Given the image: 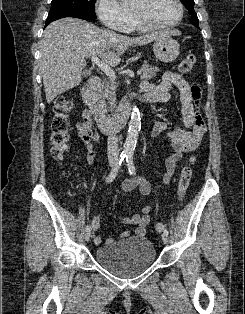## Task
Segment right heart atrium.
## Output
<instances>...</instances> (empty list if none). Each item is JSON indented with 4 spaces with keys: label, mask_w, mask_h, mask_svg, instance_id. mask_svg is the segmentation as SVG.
<instances>
[{
    "label": "right heart atrium",
    "mask_w": 245,
    "mask_h": 314,
    "mask_svg": "<svg viewBox=\"0 0 245 314\" xmlns=\"http://www.w3.org/2000/svg\"><path fill=\"white\" fill-rule=\"evenodd\" d=\"M96 13L106 27L116 31L127 29L131 20L130 10L117 0H97Z\"/></svg>",
    "instance_id": "obj_1"
}]
</instances>
